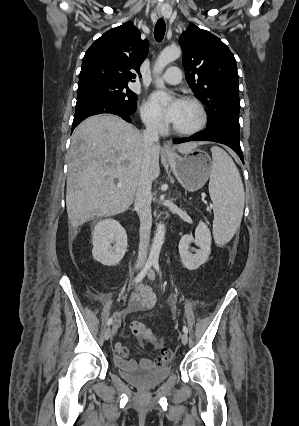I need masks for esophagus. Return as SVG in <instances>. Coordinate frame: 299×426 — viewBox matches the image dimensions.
Wrapping results in <instances>:
<instances>
[{
	"label": "esophagus",
	"mask_w": 299,
	"mask_h": 426,
	"mask_svg": "<svg viewBox=\"0 0 299 426\" xmlns=\"http://www.w3.org/2000/svg\"><path fill=\"white\" fill-rule=\"evenodd\" d=\"M158 14L160 15V16H162L163 15V12H162V10H159L158 11ZM172 147H171V144L169 143V142H167V143H165L164 144V147H163V153L164 154H166V155H171L172 154Z\"/></svg>",
	"instance_id": "esophagus-1"
}]
</instances>
